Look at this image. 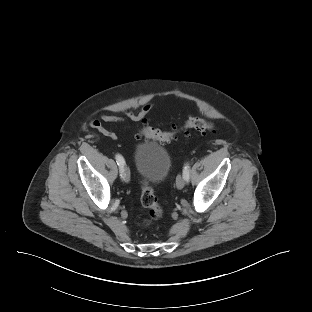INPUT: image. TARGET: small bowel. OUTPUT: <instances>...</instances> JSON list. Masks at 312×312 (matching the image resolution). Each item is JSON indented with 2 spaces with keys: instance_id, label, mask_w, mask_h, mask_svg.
<instances>
[{
  "instance_id": "c3829d8e",
  "label": "small bowel",
  "mask_w": 312,
  "mask_h": 312,
  "mask_svg": "<svg viewBox=\"0 0 312 312\" xmlns=\"http://www.w3.org/2000/svg\"><path fill=\"white\" fill-rule=\"evenodd\" d=\"M151 105H146L138 112H133L131 110H125L124 115L135 122L144 120L145 116L151 110ZM124 118L118 115L103 114L100 119H93L90 122V126L101 133L102 135L110 138L116 139L117 134L112 130L111 125L124 123Z\"/></svg>"
}]
</instances>
